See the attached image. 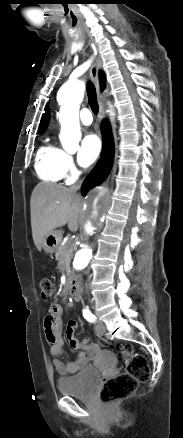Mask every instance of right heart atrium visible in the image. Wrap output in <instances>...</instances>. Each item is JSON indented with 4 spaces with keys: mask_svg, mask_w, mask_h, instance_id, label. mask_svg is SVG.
<instances>
[{
    "mask_svg": "<svg viewBox=\"0 0 183 438\" xmlns=\"http://www.w3.org/2000/svg\"><path fill=\"white\" fill-rule=\"evenodd\" d=\"M62 167L66 175L74 177L77 174L76 160L73 155L64 152Z\"/></svg>",
    "mask_w": 183,
    "mask_h": 438,
    "instance_id": "obj_1",
    "label": "right heart atrium"
}]
</instances>
